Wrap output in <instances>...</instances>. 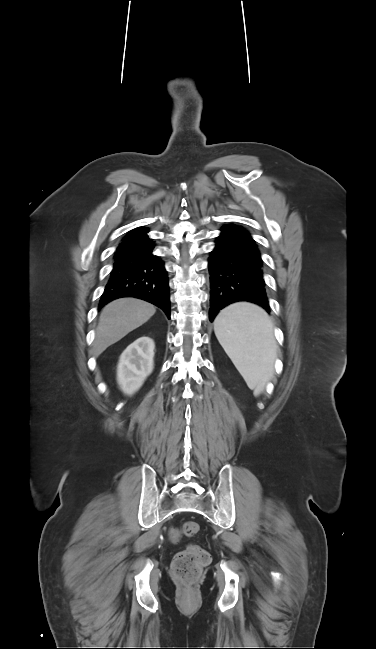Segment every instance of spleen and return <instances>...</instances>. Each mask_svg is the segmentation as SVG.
Wrapping results in <instances>:
<instances>
[{
    "label": "spleen",
    "mask_w": 376,
    "mask_h": 649,
    "mask_svg": "<svg viewBox=\"0 0 376 649\" xmlns=\"http://www.w3.org/2000/svg\"><path fill=\"white\" fill-rule=\"evenodd\" d=\"M215 335L244 378L258 396L274 371L276 340L273 323L258 305L233 303L217 315Z\"/></svg>",
    "instance_id": "3e777b00"
}]
</instances>
